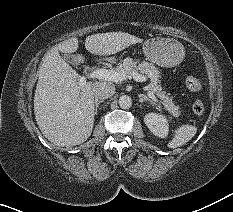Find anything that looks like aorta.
I'll list each match as a JSON object with an SVG mask.
<instances>
[{
	"mask_svg": "<svg viewBox=\"0 0 233 212\" xmlns=\"http://www.w3.org/2000/svg\"><path fill=\"white\" fill-rule=\"evenodd\" d=\"M119 106L122 109H128L132 106V99L128 95H122L119 98Z\"/></svg>",
	"mask_w": 233,
	"mask_h": 212,
	"instance_id": "762f6f07",
	"label": "aorta"
}]
</instances>
